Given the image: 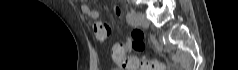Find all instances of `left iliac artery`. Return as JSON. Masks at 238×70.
I'll list each match as a JSON object with an SVG mask.
<instances>
[{
	"mask_svg": "<svg viewBox=\"0 0 238 70\" xmlns=\"http://www.w3.org/2000/svg\"><path fill=\"white\" fill-rule=\"evenodd\" d=\"M126 19H127V22L130 25H136L135 18H134V15H133V11H128L127 12Z\"/></svg>",
	"mask_w": 238,
	"mask_h": 70,
	"instance_id": "1",
	"label": "left iliac artery"
}]
</instances>
